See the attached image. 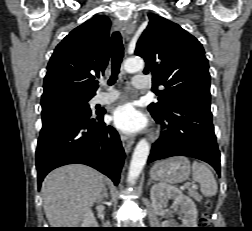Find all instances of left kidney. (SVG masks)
<instances>
[{
	"label": "left kidney",
	"instance_id": "5707ae66",
	"mask_svg": "<svg viewBox=\"0 0 252 231\" xmlns=\"http://www.w3.org/2000/svg\"><path fill=\"white\" fill-rule=\"evenodd\" d=\"M150 198L152 206L158 215L165 213V206L168 199H173L174 204L180 208L182 214L181 228L197 227V209L194 202L185 196L180 190L166 184H156L151 188Z\"/></svg>",
	"mask_w": 252,
	"mask_h": 231
}]
</instances>
